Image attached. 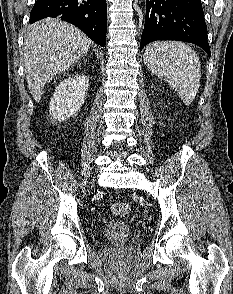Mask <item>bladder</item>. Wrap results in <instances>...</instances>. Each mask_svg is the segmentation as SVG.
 <instances>
[{
	"mask_svg": "<svg viewBox=\"0 0 233 294\" xmlns=\"http://www.w3.org/2000/svg\"><path fill=\"white\" fill-rule=\"evenodd\" d=\"M131 226L122 220L111 221L104 229V237L113 243H122L130 238Z\"/></svg>",
	"mask_w": 233,
	"mask_h": 294,
	"instance_id": "obj_1",
	"label": "bladder"
}]
</instances>
